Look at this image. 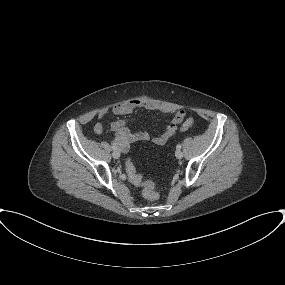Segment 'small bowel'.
<instances>
[{
    "instance_id": "small-bowel-1",
    "label": "small bowel",
    "mask_w": 285,
    "mask_h": 285,
    "mask_svg": "<svg viewBox=\"0 0 285 285\" xmlns=\"http://www.w3.org/2000/svg\"><path fill=\"white\" fill-rule=\"evenodd\" d=\"M138 109L156 110L157 107L146 100L132 99L130 101L114 105L111 111L114 115L120 116L130 114ZM178 114H181V118L179 120L177 119ZM105 115L106 111H101L98 114V117L99 119H103ZM184 117V111H177L174 115L172 122L165 125L162 133L153 138H151L149 133L147 132H131L127 128L125 120H118L112 123L111 125V130L115 133L112 142L124 153L128 152L131 143L152 140V142L156 145H164L170 139V137L175 134V132L177 131V125L184 120ZM104 129L105 127L101 122H98L94 126V132L96 134H101Z\"/></svg>"
}]
</instances>
